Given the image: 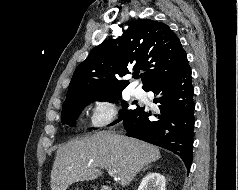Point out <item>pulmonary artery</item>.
I'll return each mask as SVG.
<instances>
[{
  "label": "pulmonary artery",
  "mask_w": 238,
  "mask_h": 190,
  "mask_svg": "<svg viewBox=\"0 0 238 190\" xmlns=\"http://www.w3.org/2000/svg\"><path fill=\"white\" fill-rule=\"evenodd\" d=\"M133 95L136 97V98H142L144 97V91L141 89V88H135L133 90Z\"/></svg>",
  "instance_id": "obj_1"
}]
</instances>
